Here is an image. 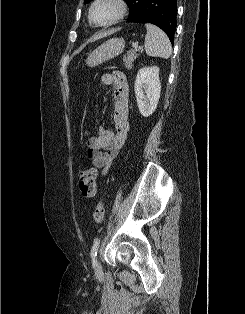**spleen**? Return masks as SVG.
<instances>
[{
	"mask_svg": "<svg viewBox=\"0 0 245 314\" xmlns=\"http://www.w3.org/2000/svg\"><path fill=\"white\" fill-rule=\"evenodd\" d=\"M147 34L145 36V52L150 57L168 59L172 52L171 43L167 35L157 26L145 24Z\"/></svg>",
	"mask_w": 245,
	"mask_h": 314,
	"instance_id": "spleen-1",
	"label": "spleen"
}]
</instances>
